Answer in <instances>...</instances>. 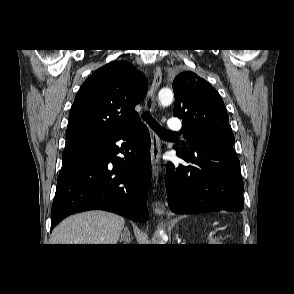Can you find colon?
I'll list each match as a JSON object with an SVG mask.
<instances>
[{"mask_svg": "<svg viewBox=\"0 0 294 294\" xmlns=\"http://www.w3.org/2000/svg\"><path fill=\"white\" fill-rule=\"evenodd\" d=\"M209 243L214 245L216 243V239L213 236L209 237Z\"/></svg>", "mask_w": 294, "mask_h": 294, "instance_id": "1", "label": "colon"}]
</instances>
